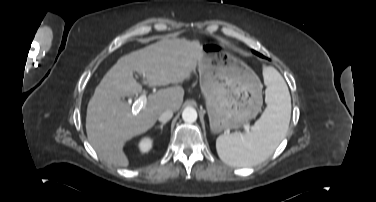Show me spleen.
<instances>
[{"label":"spleen","mask_w":376,"mask_h":202,"mask_svg":"<svg viewBox=\"0 0 376 202\" xmlns=\"http://www.w3.org/2000/svg\"><path fill=\"white\" fill-rule=\"evenodd\" d=\"M267 108L250 132L220 135L216 149L220 159L235 167H249L265 161L284 139L290 122L291 98L280 73L263 67Z\"/></svg>","instance_id":"3e777b00"}]
</instances>
